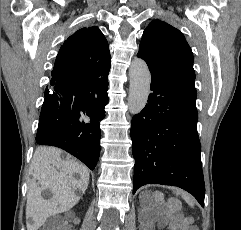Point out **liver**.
Here are the masks:
<instances>
[{
	"instance_id": "6515ba94",
	"label": "liver",
	"mask_w": 241,
	"mask_h": 230,
	"mask_svg": "<svg viewBox=\"0 0 241 230\" xmlns=\"http://www.w3.org/2000/svg\"><path fill=\"white\" fill-rule=\"evenodd\" d=\"M30 171L27 230H38L50 215L73 208L80 200L77 192L84 193L89 184L88 168L54 147H38ZM46 188L52 192V198L48 201L41 197V190Z\"/></svg>"
}]
</instances>
